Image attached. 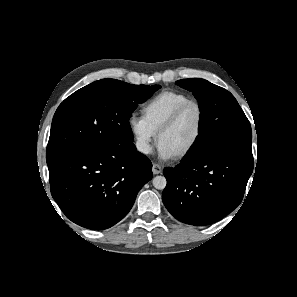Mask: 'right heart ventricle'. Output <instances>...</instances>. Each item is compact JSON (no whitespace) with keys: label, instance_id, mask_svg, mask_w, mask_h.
<instances>
[{"label":"right heart ventricle","instance_id":"1","mask_svg":"<svg viewBox=\"0 0 297 297\" xmlns=\"http://www.w3.org/2000/svg\"><path fill=\"white\" fill-rule=\"evenodd\" d=\"M191 100L189 96L178 91H162L146 101L141 108L142 117L157 134L161 125L181 104Z\"/></svg>","mask_w":297,"mask_h":297}]
</instances>
